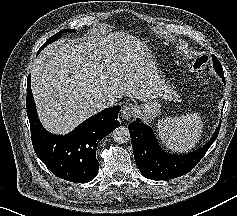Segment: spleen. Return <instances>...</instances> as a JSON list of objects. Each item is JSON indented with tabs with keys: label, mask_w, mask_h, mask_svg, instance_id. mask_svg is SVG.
<instances>
[{
	"label": "spleen",
	"mask_w": 237,
	"mask_h": 216,
	"mask_svg": "<svg viewBox=\"0 0 237 216\" xmlns=\"http://www.w3.org/2000/svg\"><path fill=\"white\" fill-rule=\"evenodd\" d=\"M203 123L197 114L158 120L157 131L162 144L172 152L193 149L201 138Z\"/></svg>",
	"instance_id": "obj_1"
}]
</instances>
